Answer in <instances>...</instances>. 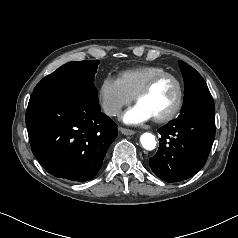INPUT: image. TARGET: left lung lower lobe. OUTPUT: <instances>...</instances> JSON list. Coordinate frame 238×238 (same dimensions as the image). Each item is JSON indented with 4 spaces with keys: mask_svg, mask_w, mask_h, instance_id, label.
Here are the masks:
<instances>
[{
    "mask_svg": "<svg viewBox=\"0 0 238 238\" xmlns=\"http://www.w3.org/2000/svg\"><path fill=\"white\" fill-rule=\"evenodd\" d=\"M158 132L159 149L149 159L150 167L166 182L182 181L206 163L215 137V115L178 117Z\"/></svg>",
    "mask_w": 238,
    "mask_h": 238,
    "instance_id": "left-lung-lower-lobe-1",
    "label": "left lung lower lobe"
}]
</instances>
